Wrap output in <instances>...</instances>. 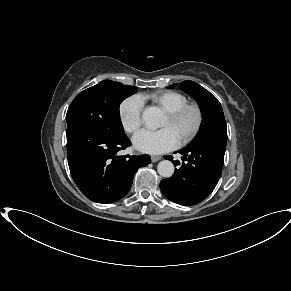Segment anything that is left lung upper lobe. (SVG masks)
<instances>
[{
    "mask_svg": "<svg viewBox=\"0 0 291 291\" xmlns=\"http://www.w3.org/2000/svg\"><path fill=\"white\" fill-rule=\"evenodd\" d=\"M175 84L169 87H174ZM179 88L192 96L202 112V124L196 138L190 143L202 141L227 142V127L220 102L208 90L193 81H184Z\"/></svg>",
    "mask_w": 291,
    "mask_h": 291,
    "instance_id": "obj_1",
    "label": "left lung upper lobe"
}]
</instances>
